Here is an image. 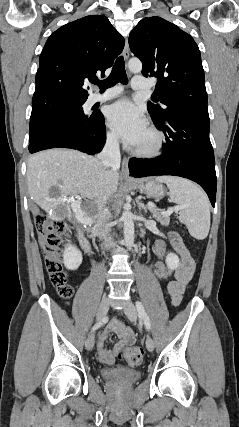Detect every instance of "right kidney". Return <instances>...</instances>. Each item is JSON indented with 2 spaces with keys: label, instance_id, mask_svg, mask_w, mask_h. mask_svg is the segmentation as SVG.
Masks as SVG:
<instances>
[{
  "label": "right kidney",
  "instance_id": "1",
  "mask_svg": "<svg viewBox=\"0 0 239 427\" xmlns=\"http://www.w3.org/2000/svg\"><path fill=\"white\" fill-rule=\"evenodd\" d=\"M63 263L69 270H76L82 263V254L74 246L67 244L63 252Z\"/></svg>",
  "mask_w": 239,
  "mask_h": 427
}]
</instances>
